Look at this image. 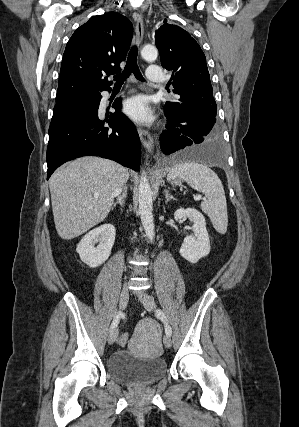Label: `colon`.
Returning <instances> with one entry per match:
<instances>
[{
    "label": "colon",
    "instance_id": "1",
    "mask_svg": "<svg viewBox=\"0 0 299 427\" xmlns=\"http://www.w3.org/2000/svg\"><path fill=\"white\" fill-rule=\"evenodd\" d=\"M128 342V335L127 334H122V336L119 339V343L120 345L124 346L126 345Z\"/></svg>",
    "mask_w": 299,
    "mask_h": 427
}]
</instances>
